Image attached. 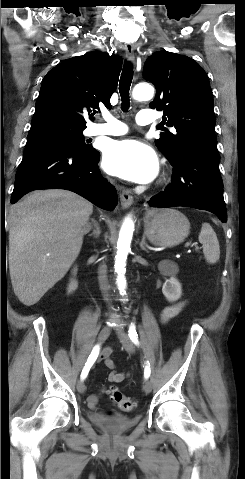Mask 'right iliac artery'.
<instances>
[{
  "label": "right iliac artery",
  "mask_w": 245,
  "mask_h": 479,
  "mask_svg": "<svg viewBox=\"0 0 245 479\" xmlns=\"http://www.w3.org/2000/svg\"><path fill=\"white\" fill-rule=\"evenodd\" d=\"M99 351H100V346H99V345H96V346L93 348L91 354L89 355L88 360H87V362L85 363V366H84V368H83V370H82V373H81V376H80L82 380H84V379L87 377L90 368L92 367V365L94 364V362L96 361V359H97V357H98V355H99Z\"/></svg>",
  "instance_id": "1"
}]
</instances>
